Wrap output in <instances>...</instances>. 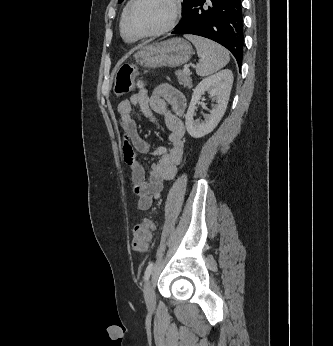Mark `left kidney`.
<instances>
[{
  "label": "left kidney",
  "mask_w": 333,
  "mask_h": 346,
  "mask_svg": "<svg viewBox=\"0 0 333 346\" xmlns=\"http://www.w3.org/2000/svg\"><path fill=\"white\" fill-rule=\"evenodd\" d=\"M232 84V71L224 69L204 78L196 86L185 119L186 128L191 137L201 138L215 129L226 111ZM206 91H210L216 97L217 104L210 110L204 122L194 121L196 104Z\"/></svg>",
  "instance_id": "left-kidney-1"
}]
</instances>
